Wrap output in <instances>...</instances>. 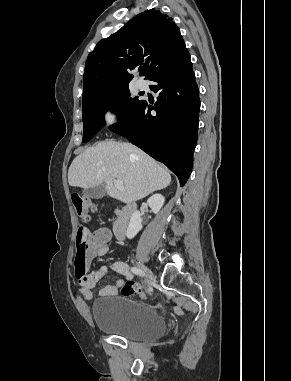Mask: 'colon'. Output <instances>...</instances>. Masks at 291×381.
Masks as SVG:
<instances>
[{"label":"colon","mask_w":291,"mask_h":381,"mask_svg":"<svg viewBox=\"0 0 291 381\" xmlns=\"http://www.w3.org/2000/svg\"><path fill=\"white\" fill-rule=\"evenodd\" d=\"M72 203L82 220H89L91 215L95 212V207L91 205L90 201L83 196H74ZM87 251H88V231L84 227H80L76 237V263L78 267L85 271L87 268ZM120 293L123 296L141 295L145 296V292L133 281H127L120 287Z\"/></svg>","instance_id":"1"}]
</instances>
